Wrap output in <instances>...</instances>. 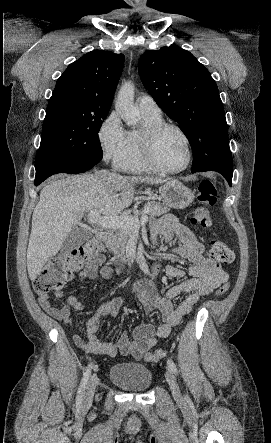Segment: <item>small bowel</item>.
Masks as SVG:
<instances>
[{
  "label": "small bowel",
  "mask_w": 271,
  "mask_h": 443,
  "mask_svg": "<svg viewBox=\"0 0 271 443\" xmlns=\"http://www.w3.org/2000/svg\"><path fill=\"white\" fill-rule=\"evenodd\" d=\"M159 238L167 242L177 239L180 245L170 255L185 259L190 263L188 278L170 287L165 295H160L148 280L138 282L133 288L146 315L149 316L152 312L158 311L162 323L155 327L148 321L137 326L133 331L132 339L126 332H123L115 343L100 341L97 337V330L101 319L108 315L116 316L123 302L121 297H115L101 304L88 319L85 325V338L79 334L73 336V341L79 348L97 355L114 357L120 353L123 356L140 360L156 345L158 339L166 338L171 334L172 329L191 312L201 296L211 293L228 280V274L222 265L204 254V245L175 216L165 215L155 224L152 230V240L156 243ZM155 271L156 268H154ZM165 272L170 279H182L186 275L183 269L172 265H168ZM79 275L81 279L93 280L98 275L109 279L112 269L109 266H103L98 270L97 263H91ZM181 295H184V298L177 305L173 304V299ZM55 296L61 299L65 294L58 290ZM38 301L50 316L70 327L75 325L70 308L76 310L84 308L83 303L76 296H69L61 308L54 307L48 295H40Z\"/></svg>",
  "instance_id": "obj_1"
}]
</instances>
